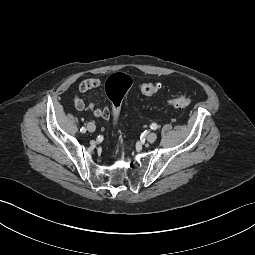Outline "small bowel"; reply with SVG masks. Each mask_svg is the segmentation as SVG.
I'll return each mask as SVG.
<instances>
[{
	"label": "small bowel",
	"mask_w": 255,
	"mask_h": 255,
	"mask_svg": "<svg viewBox=\"0 0 255 255\" xmlns=\"http://www.w3.org/2000/svg\"><path fill=\"white\" fill-rule=\"evenodd\" d=\"M102 86V82L96 78H89L83 80L79 85L80 93H87L93 89H97ZM74 105L78 110H84L86 105L83 98L80 95L74 97ZM89 109L96 117H102L104 119H109L111 117V110L108 107H98L94 103L89 104Z\"/></svg>",
	"instance_id": "1"
}]
</instances>
